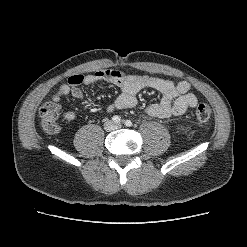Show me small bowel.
Returning a JSON list of instances; mask_svg holds the SVG:
<instances>
[{
    "label": "small bowel",
    "mask_w": 247,
    "mask_h": 247,
    "mask_svg": "<svg viewBox=\"0 0 247 247\" xmlns=\"http://www.w3.org/2000/svg\"><path fill=\"white\" fill-rule=\"evenodd\" d=\"M106 81L120 88L119 96L113 103L107 106L108 112L114 110L132 108L137 104V94L144 88H152L162 94L159 103L149 105L146 113L157 118H169L181 116L197 104V97L192 93L189 82L174 83L172 80L149 74H127L116 70L98 71L88 75H73L67 83L62 84L54 94L52 101L59 103L65 96L83 99L84 93L80 86L94 85ZM64 120L71 122L76 119V113L65 111L62 114ZM57 130L50 133H55Z\"/></svg>",
    "instance_id": "obj_1"
}]
</instances>
